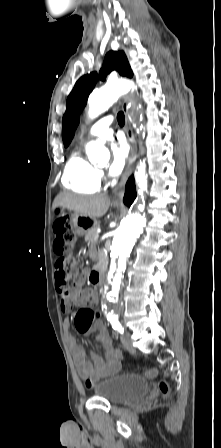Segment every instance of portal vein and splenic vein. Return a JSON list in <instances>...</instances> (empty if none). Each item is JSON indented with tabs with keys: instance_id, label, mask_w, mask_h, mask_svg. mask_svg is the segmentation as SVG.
Masks as SVG:
<instances>
[{
	"instance_id": "obj_1",
	"label": "portal vein and splenic vein",
	"mask_w": 221,
	"mask_h": 448,
	"mask_svg": "<svg viewBox=\"0 0 221 448\" xmlns=\"http://www.w3.org/2000/svg\"><path fill=\"white\" fill-rule=\"evenodd\" d=\"M99 237V234L97 233V235H96V239Z\"/></svg>"
}]
</instances>
